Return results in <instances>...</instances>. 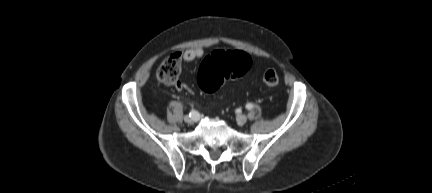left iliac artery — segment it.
Wrapping results in <instances>:
<instances>
[{
    "mask_svg": "<svg viewBox=\"0 0 432 193\" xmlns=\"http://www.w3.org/2000/svg\"><path fill=\"white\" fill-rule=\"evenodd\" d=\"M246 108H247L248 110H251V109L253 108V104H252V103H248V104H246Z\"/></svg>",
    "mask_w": 432,
    "mask_h": 193,
    "instance_id": "1",
    "label": "left iliac artery"
}]
</instances>
